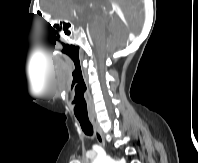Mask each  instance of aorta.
Masks as SVG:
<instances>
[{"label":"aorta","mask_w":198,"mask_h":163,"mask_svg":"<svg viewBox=\"0 0 198 163\" xmlns=\"http://www.w3.org/2000/svg\"><path fill=\"white\" fill-rule=\"evenodd\" d=\"M92 163H114V161L105 155H99L92 161Z\"/></svg>","instance_id":"obj_1"}]
</instances>
